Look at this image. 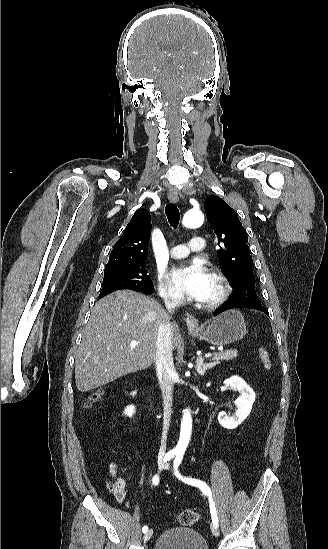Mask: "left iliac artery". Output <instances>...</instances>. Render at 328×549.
Segmentation results:
<instances>
[{"label": "left iliac artery", "instance_id": "1", "mask_svg": "<svg viewBox=\"0 0 328 549\" xmlns=\"http://www.w3.org/2000/svg\"><path fill=\"white\" fill-rule=\"evenodd\" d=\"M182 458H183L182 455H176V458L174 459L173 466H174L177 478L183 480L186 483H189L191 485L199 487L203 493L208 495L209 503H210V512H211L212 522H213L214 526L218 527V516H217L216 507H215V503H214L213 498H212V492H211L210 488L208 487V485L205 482H203L201 480L192 479V478H185V477L183 478L178 473L177 468L181 464Z\"/></svg>", "mask_w": 328, "mask_h": 549}]
</instances>
